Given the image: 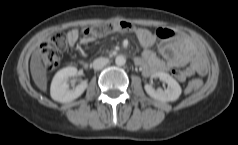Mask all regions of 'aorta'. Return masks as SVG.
<instances>
[{"mask_svg":"<svg viewBox=\"0 0 238 145\" xmlns=\"http://www.w3.org/2000/svg\"><path fill=\"white\" fill-rule=\"evenodd\" d=\"M115 63L118 66H123L126 63V58L124 56H122V55H119V56L116 57Z\"/></svg>","mask_w":238,"mask_h":145,"instance_id":"1","label":"aorta"}]
</instances>
